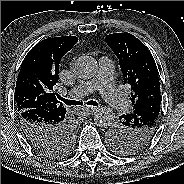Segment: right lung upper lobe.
Wrapping results in <instances>:
<instances>
[{"instance_id":"right-lung-upper-lobe-1","label":"right lung upper lobe","mask_w":184,"mask_h":184,"mask_svg":"<svg viewBox=\"0 0 184 184\" xmlns=\"http://www.w3.org/2000/svg\"><path fill=\"white\" fill-rule=\"evenodd\" d=\"M78 42L75 36L47 38L36 44L25 56L16 82L17 112L29 109L63 110L53 86L58 82L62 57Z\"/></svg>"}]
</instances>
